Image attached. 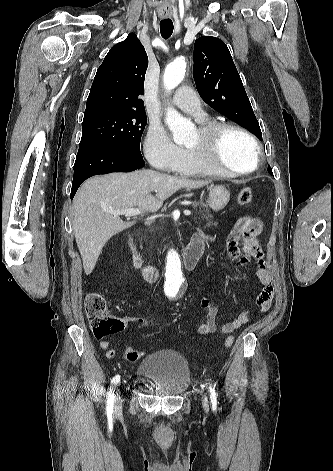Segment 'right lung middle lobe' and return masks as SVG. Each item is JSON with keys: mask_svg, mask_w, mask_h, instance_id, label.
<instances>
[{"mask_svg": "<svg viewBox=\"0 0 333 471\" xmlns=\"http://www.w3.org/2000/svg\"><path fill=\"white\" fill-rule=\"evenodd\" d=\"M147 123L144 111H110L84 117L79 148L107 146L138 156Z\"/></svg>", "mask_w": 333, "mask_h": 471, "instance_id": "obj_1", "label": "right lung middle lobe"}]
</instances>
